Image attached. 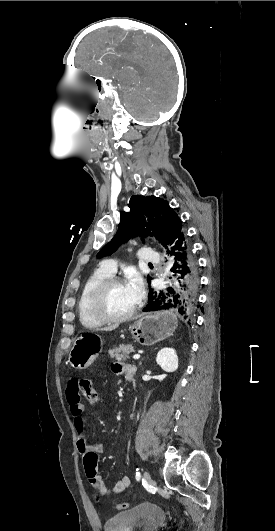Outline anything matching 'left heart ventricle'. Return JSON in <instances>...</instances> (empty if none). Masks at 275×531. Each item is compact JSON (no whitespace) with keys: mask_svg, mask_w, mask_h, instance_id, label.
Instances as JSON below:
<instances>
[{"mask_svg":"<svg viewBox=\"0 0 275 531\" xmlns=\"http://www.w3.org/2000/svg\"><path fill=\"white\" fill-rule=\"evenodd\" d=\"M135 304L125 281L112 285L104 302L106 310L114 316L125 315Z\"/></svg>","mask_w":275,"mask_h":531,"instance_id":"left-heart-ventricle-1","label":"left heart ventricle"}]
</instances>
